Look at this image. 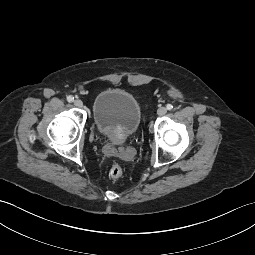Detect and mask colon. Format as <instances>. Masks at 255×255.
I'll list each match as a JSON object with an SVG mask.
<instances>
[{
	"label": "colon",
	"instance_id": "colon-1",
	"mask_svg": "<svg viewBox=\"0 0 255 255\" xmlns=\"http://www.w3.org/2000/svg\"><path fill=\"white\" fill-rule=\"evenodd\" d=\"M123 175V168L120 164L114 163L109 168V176L112 179H118Z\"/></svg>",
	"mask_w": 255,
	"mask_h": 255
}]
</instances>
